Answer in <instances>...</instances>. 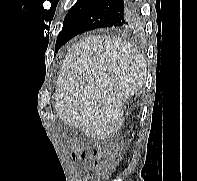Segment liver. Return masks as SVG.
Masks as SVG:
<instances>
[{"label":"liver","mask_w":197,"mask_h":181,"mask_svg":"<svg viewBox=\"0 0 197 181\" xmlns=\"http://www.w3.org/2000/svg\"><path fill=\"white\" fill-rule=\"evenodd\" d=\"M146 62L130 43L84 37L68 50L56 83L55 109L66 124L103 140L123 124L122 105L146 82Z\"/></svg>","instance_id":"obj_1"}]
</instances>
